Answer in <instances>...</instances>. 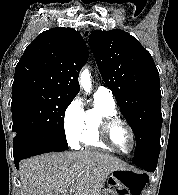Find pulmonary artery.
Masks as SVG:
<instances>
[{"label":"pulmonary artery","instance_id":"e3ab8cb5","mask_svg":"<svg viewBox=\"0 0 178 195\" xmlns=\"http://www.w3.org/2000/svg\"><path fill=\"white\" fill-rule=\"evenodd\" d=\"M95 94L115 102L112 91L105 86H99Z\"/></svg>","mask_w":178,"mask_h":195}]
</instances>
